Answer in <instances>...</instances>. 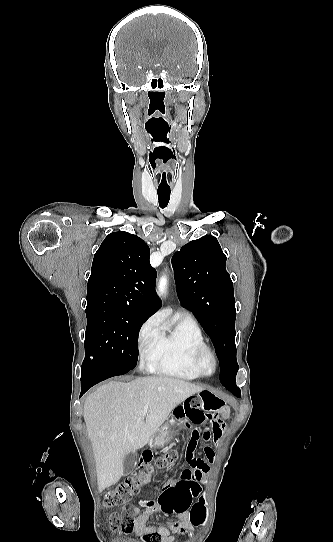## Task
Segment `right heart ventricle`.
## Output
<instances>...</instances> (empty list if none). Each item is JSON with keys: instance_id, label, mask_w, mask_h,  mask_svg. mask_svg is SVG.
I'll return each mask as SVG.
<instances>
[{"instance_id": "1", "label": "right heart ventricle", "mask_w": 333, "mask_h": 542, "mask_svg": "<svg viewBox=\"0 0 333 542\" xmlns=\"http://www.w3.org/2000/svg\"><path fill=\"white\" fill-rule=\"evenodd\" d=\"M159 338L142 348L141 364L151 372L170 377L194 380L200 375L192 364L194 350L205 344L203 333L190 316L179 318L171 328L158 322Z\"/></svg>"}]
</instances>
